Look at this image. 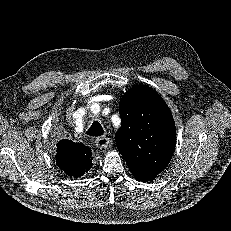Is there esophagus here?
I'll return each mask as SVG.
<instances>
[{"mask_svg":"<svg viewBox=\"0 0 231 231\" xmlns=\"http://www.w3.org/2000/svg\"><path fill=\"white\" fill-rule=\"evenodd\" d=\"M96 146L101 149H106L110 144V139L108 137L102 136L96 140Z\"/></svg>","mask_w":231,"mask_h":231,"instance_id":"esophagus-1","label":"esophagus"}]
</instances>
